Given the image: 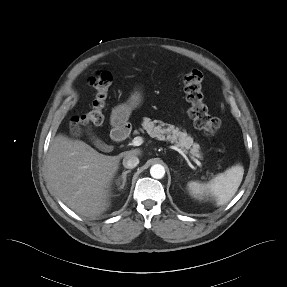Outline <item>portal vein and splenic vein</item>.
<instances>
[{
  "mask_svg": "<svg viewBox=\"0 0 287 287\" xmlns=\"http://www.w3.org/2000/svg\"><path fill=\"white\" fill-rule=\"evenodd\" d=\"M144 142L143 138L140 136H137L135 138H133L131 145L133 146H140L142 145ZM173 149L176 150L177 152H179L183 157H186L185 152L178 148L177 146H173ZM193 161L197 164L198 167H202V164L200 161H198L197 159L193 158Z\"/></svg>",
  "mask_w": 287,
  "mask_h": 287,
  "instance_id": "obj_1",
  "label": "portal vein and splenic vein"
}]
</instances>
